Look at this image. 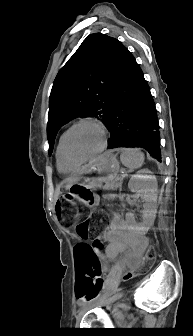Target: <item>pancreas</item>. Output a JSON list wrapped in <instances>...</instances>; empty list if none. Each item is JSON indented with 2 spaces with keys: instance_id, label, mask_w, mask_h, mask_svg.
I'll return each mask as SVG.
<instances>
[{
  "instance_id": "obj_1",
  "label": "pancreas",
  "mask_w": 193,
  "mask_h": 336,
  "mask_svg": "<svg viewBox=\"0 0 193 336\" xmlns=\"http://www.w3.org/2000/svg\"><path fill=\"white\" fill-rule=\"evenodd\" d=\"M122 185V178L116 177L111 182L106 185V189L103 190L105 197H109L113 193L114 190L121 187Z\"/></svg>"
}]
</instances>
